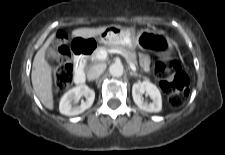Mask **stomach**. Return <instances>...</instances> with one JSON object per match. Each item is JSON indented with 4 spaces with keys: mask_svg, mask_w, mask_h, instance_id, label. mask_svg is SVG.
Returning <instances> with one entry per match:
<instances>
[{
    "mask_svg": "<svg viewBox=\"0 0 225 155\" xmlns=\"http://www.w3.org/2000/svg\"><path fill=\"white\" fill-rule=\"evenodd\" d=\"M100 41L104 44H120L129 49L139 47L142 50L161 49L169 42L165 32L155 28H146L138 32L118 26H110L100 34Z\"/></svg>",
    "mask_w": 225,
    "mask_h": 155,
    "instance_id": "0dacf381",
    "label": "stomach"
}]
</instances>
